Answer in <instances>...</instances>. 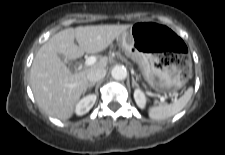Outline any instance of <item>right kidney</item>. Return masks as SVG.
<instances>
[{
    "instance_id": "obj_1",
    "label": "right kidney",
    "mask_w": 225,
    "mask_h": 155,
    "mask_svg": "<svg viewBox=\"0 0 225 155\" xmlns=\"http://www.w3.org/2000/svg\"><path fill=\"white\" fill-rule=\"evenodd\" d=\"M96 101V95L90 94L82 98L76 105L75 112L77 115H84L93 107Z\"/></svg>"
}]
</instances>
